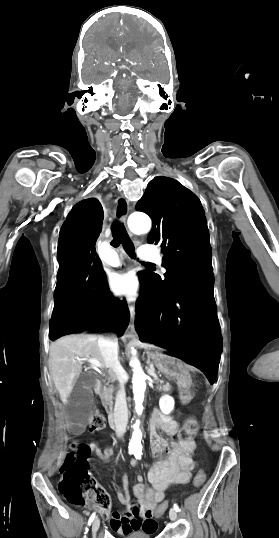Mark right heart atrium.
Here are the masks:
<instances>
[{"instance_id": "d8ad5b80", "label": "right heart atrium", "mask_w": 279, "mask_h": 538, "mask_svg": "<svg viewBox=\"0 0 279 538\" xmlns=\"http://www.w3.org/2000/svg\"><path fill=\"white\" fill-rule=\"evenodd\" d=\"M132 232L136 235H142L144 234V230L142 229H132Z\"/></svg>"}]
</instances>
